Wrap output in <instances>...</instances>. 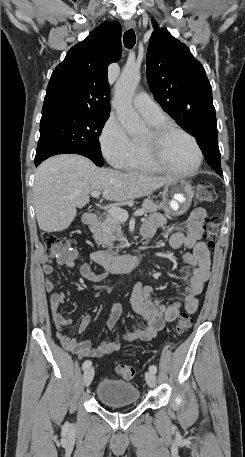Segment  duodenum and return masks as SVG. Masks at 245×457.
<instances>
[{"mask_svg": "<svg viewBox=\"0 0 245 457\" xmlns=\"http://www.w3.org/2000/svg\"><path fill=\"white\" fill-rule=\"evenodd\" d=\"M87 225L93 226L97 223V216L89 214L85 218ZM94 260L111 272H121L136 268L142 261L141 254L135 255H112L104 252H96L93 255Z\"/></svg>", "mask_w": 245, "mask_h": 457, "instance_id": "410a0bca", "label": "duodenum"}]
</instances>
